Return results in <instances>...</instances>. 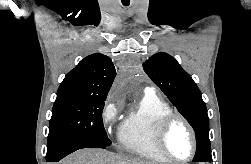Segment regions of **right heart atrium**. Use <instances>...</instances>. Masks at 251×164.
I'll use <instances>...</instances> for the list:
<instances>
[{"label":"right heart atrium","instance_id":"right-heart-atrium-1","mask_svg":"<svg viewBox=\"0 0 251 164\" xmlns=\"http://www.w3.org/2000/svg\"><path fill=\"white\" fill-rule=\"evenodd\" d=\"M120 105L116 102H108L102 111V123L107 131H110L118 123Z\"/></svg>","mask_w":251,"mask_h":164}]
</instances>
